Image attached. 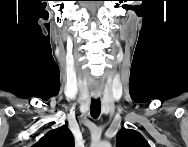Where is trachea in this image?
I'll use <instances>...</instances> for the list:
<instances>
[{"mask_svg": "<svg viewBox=\"0 0 188 147\" xmlns=\"http://www.w3.org/2000/svg\"><path fill=\"white\" fill-rule=\"evenodd\" d=\"M101 111V102L100 99H92L90 106V113L94 118H97Z\"/></svg>", "mask_w": 188, "mask_h": 147, "instance_id": "obj_1", "label": "trachea"}]
</instances>
